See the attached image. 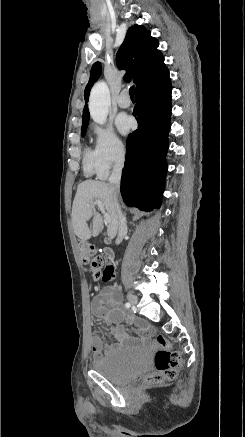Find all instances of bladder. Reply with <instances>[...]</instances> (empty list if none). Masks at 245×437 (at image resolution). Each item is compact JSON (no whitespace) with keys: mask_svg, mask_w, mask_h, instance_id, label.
I'll use <instances>...</instances> for the list:
<instances>
[{"mask_svg":"<svg viewBox=\"0 0 245 437\" xmlns=\"http://www.w3.org/2000/svg\"><path fill=\"white\" fill-rule=\"evenodd\" d=\"M151 363L149 349L114 348L92 363V368L108 380L123 384L148 369Z\"/></svg>","mask_w":245,"mask_h":437,"instance_id":"1","label":"bladder"}]
</instances>
